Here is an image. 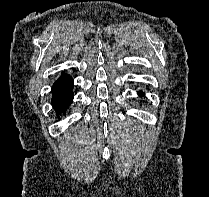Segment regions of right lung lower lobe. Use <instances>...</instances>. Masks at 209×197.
<instances>
[{"instance_id": "1", "label": "right lung lower lobe", "mask_w": 209, "mask_h": 197, "mask_svg": "<svg viewBox=\"0 0 209 197\" xmlns=\"http://www.w3.org/2000/svg\"><path fill=\"white\" fill-rule=\"evenodd\" d=\"M73 80L63 73L52 87V105L57 113H65L73 101Z\"/></svg>"}]
</instances>
